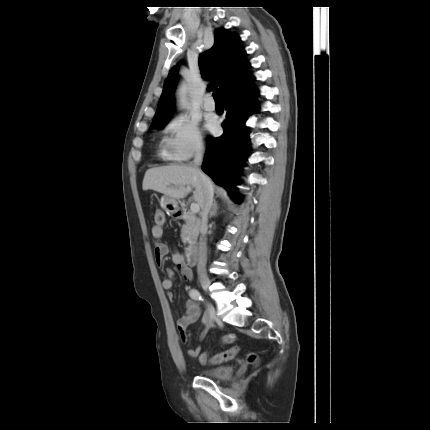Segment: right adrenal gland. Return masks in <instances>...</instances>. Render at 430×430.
Segmentation results:
<instances>
[{
    "label": "right adrenal gland",
    "instance_id": "obj_1",
    "mask_svg": "<svg viewBox=\"0 0 430 430\" xmlns=\"http://www.w3.org/2000/svg\"><path fill=\"white\" fill-rule=\"evenodd\" d=\"M217 210H218L217 202L214 200L212 208L210 210L209 218L216 217Z\"/></svg>",
    "mask_w": 430,
    "mask_h": 430
}]
</instances>
